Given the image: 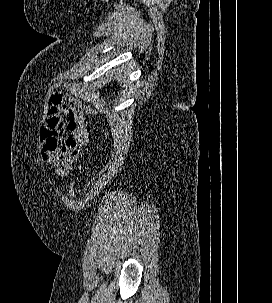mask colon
Instances as JSON below:
<instances>
[{"label":"colon","instance_id":"1","mask_svg":"<svg viewBox=\"0 0 272 303\" xmlns=\"http://www.w3.org/2000/svg\"><path fill=\"white\" fill-rule=\"evenodd\" d=\"M85 112L88 115H93L95 113V109L91 105H87L86 108H85ZM73 193H74V184L71 181L70 184H69V195L72 196Z\"/></svg>","mask_w":272,"mask_h":303}]
</instances>
